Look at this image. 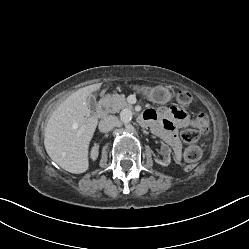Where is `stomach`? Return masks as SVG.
<instances>
[{"label": "stomach", "instance_id": "stomach-1", "mask_svg": "<svg viewBox=\"0 0 249 249\" xmlns=\"http://www.w3.org/2000/svg\"><path fill=\"white\" fill-rule=\"evenodd\" d=\"M133 89L144 95L149 101L157 104H164L171 100V94L167 88L157 85L154 87L133 86Z\"/></svg>", "mask_w": 249, "mask_h": 249}]
</instances>
